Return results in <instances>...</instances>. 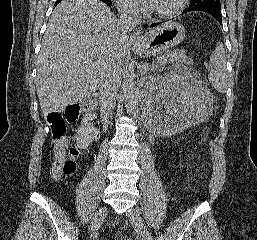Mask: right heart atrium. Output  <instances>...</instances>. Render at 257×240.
Returning <instances> with one entry per match:
<instances>
[{"mask_svg":"<svg viewBox=\"0 0 257 240\" xmlns=\"http://www.w3.org/2000/svg\"><path fill=\"white\" fill-rule=\"evenodd\" d=\"M120 11L128 17L136 18L139 15V8L134 0H116Z\"/></svg>","mask_w":257,"mask_h":240,"instance_id":"d8ad5b80","label":"right heart atrium"}]
</instances>
